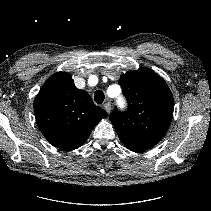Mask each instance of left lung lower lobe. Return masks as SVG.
<instances>
[{"label": "left lung lower lobe", "mask_w": 211, "mask_h": 211, "mask_svg": "<svg viewBox=\"0 0 211 211\" xmlns=\"http://www.w3.org/2000/svg\"><path fill=\"white\" fill-rule=\"evenodd\" d=\"M128 149L133 151V152H144L145 151L143 149H130V148H128Z\"/></svg>", "instance_id": "obj_1"}]
</instances>
